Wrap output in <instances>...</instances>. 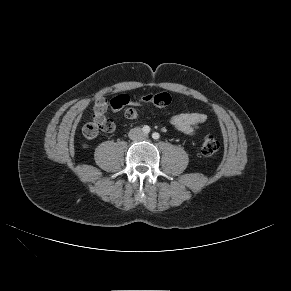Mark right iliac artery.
I'll use <instances>...</instances> for the list:
<instances>
[{
    "mask_svg": "<svg viewBox=\"0 0 291 291\" xmlns=\"http://www.w3.org/2000/svg\"><path fill=\"white\" fill-rule=\"evenodd\" d=\"M142 130H143V132H144L145 134H148V133L150 132V127L147 126V125H145V126L142 128Z\"/></svg>",
    "mask_w": 291,
    "mask_h": 291,
    "instance_id": "right-iliac-artery-1",
    "label": "right iliac artery"
}]
</instances>
